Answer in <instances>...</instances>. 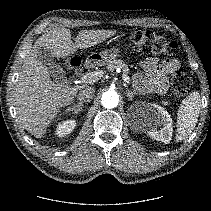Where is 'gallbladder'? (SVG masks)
<instances>
[{
  "label": "gallbladder",
  "instance_id": "1",
  "mask_svg": "<svg viewBox=\"0 0 211 211\" xmlns=\"http://www.w3.org/2000/svg\"><path fill=\"white\" fill-rule=\"evenodd\" d=\"M37 56L38 60L48 68L49 73L56 82L63 84L66 81L65 71L55 62V57L52 55L50 49L39 47Z\"/></svg>",
  "mask_w": 211,
  "mask_h": 211
}]
</instances>
